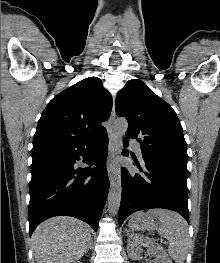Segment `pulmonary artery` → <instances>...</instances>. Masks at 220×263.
<instances>
[{
	"label": "pulmonary artery",
	"instance_id": "pulmonary-artery-1",
	"mask_svg": "<svg viewBox=\"0 0 220 263\" xmlns=\"http://www.w3.org/2000/svg\"><path fill=\"white\" fill-rule=\"evenodd\" d=\"M130 143L133 145V147L135 148L136 150V153L138 155V157H142V150H141V147L139 145L138 142L134 141V140H131Z\"/></svg>",
	"mask_w": 220,
	"mask_h": 263
}]
</instances>
